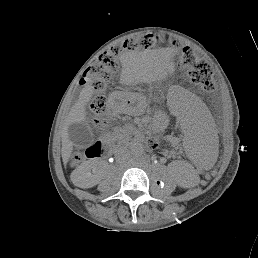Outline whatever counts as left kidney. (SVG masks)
<instances>
[{
	"label": "left kidney",
	"mask_w": 258,
	"mask_h": 258,
	"mask_svg": "<svg viewBox=\"0 0 258 258\" xmlns=\"http://www.w3.org/2000/svg\"><path fill=\"white\" fill-rule=\"evenodd\" d=\"M190 174L191 177H193V173H187V175ZM186 174H182V178L179 181V185L184 188L192 187L194 185L193 181L187 177Z\"/></svg>",
	"instance_id": "5707ae66"
}]
</instances>
